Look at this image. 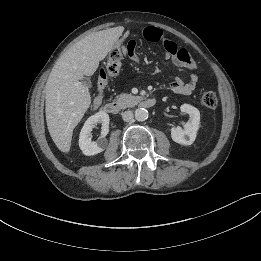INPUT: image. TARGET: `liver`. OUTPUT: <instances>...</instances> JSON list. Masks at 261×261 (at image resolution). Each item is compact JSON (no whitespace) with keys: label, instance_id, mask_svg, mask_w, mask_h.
Instances as JSON below:
<instances>
[{"label":"liver","instance_id":"1","mask_svg":"<svg viewBox=\"0 0 261 261\" xmlns=\"http://www.w3.org/2000/svg\"><path fill=\"white\" fill-rule=\"evenodd\" d=\"M123 31L118 26L91 34L55 63L45 86V112L50 136L60 151L70 150L73 130L91 104L89 89L80 80L96 72Z\"/></svg>","mask_w":261,"mask_h":261}]
</instances>
